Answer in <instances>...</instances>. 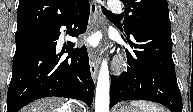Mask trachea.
I'll use <instances>...</instances> for the list:
<instances>
[{"label":"trachea","mask_w":193,"mask_h":112,"mask_svg":"<svg viewBox=\"0 0 193 112\" xmlns=\"http://www.w3.org/2000/svg\"><path fill=\"white\" fill-rule=\"evenodd\" d=\"M102 11H103L105 14L109 15V16H112V17H115V18H119L118 15L113 14L112 12L108 11V10H107L106 8H104V7H102Z\"/></svg>","instance_id":"trachea-1"}]
</instances>
